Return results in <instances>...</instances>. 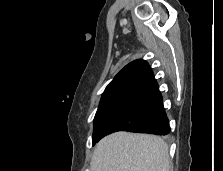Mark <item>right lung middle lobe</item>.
Masks as SVG:
<instances>
[{"instance_id": "dd1d6c3e", "label": "right lung middle lobe", "mask_w": 223, "mask_h": 171, "mask_svg": "<svg viewBox=\"0 0 223 171\" xmlns=\"http://www.w3.org/2000/svg\"><path fill=\"white\" fill-rule=\"evenodd\" d=\"M136 98L117 96L102 99L94 118L93 145L98 142L106 127L115 120Z\"/></svg>"}]
</instances>
